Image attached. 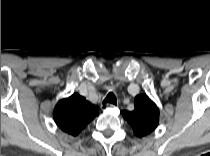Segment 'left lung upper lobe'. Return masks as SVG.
<instances>
[{
    "mask_svg": "<svg viewBox=\"0 0 210 156\" xmlns=\"http://www.w3.org/2000/svg\"><path fill=\"white\" fill-rule=\"evenodd\" d=\"M135 109L132 112L124 110L123 117L132 127L137 137H143L158 125L159 109L156 104L144 94L138 95L134 99Z\"/></svg>",
    "mask_w": 210,
    "mask_h": 156,
    "instance_id": "left-lung-upper-lobe-1",
    "label": "left lung upper lobe"
}]
</instances>
